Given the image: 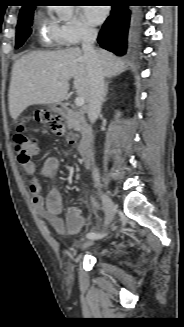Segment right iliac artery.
Returning <instances> with one entry per match:
<instances>
[{
  "label": "right iliac artery",
  "mask_w": 184,
  "mask_h": 327,
  "mask_svg": "<svg viewBox=\"0 0 184 327\" xmlns=\"http://www.w3.org/2000/svg\"><path fill=\"white\" fill-rule=\"evenodd\" d=\"M92 202L94 203V205H96V202L92 199ZM106 234H96L94 232H90L87 234V238L89 239H96V238H101L104 237Z\"/></svg>",
  "instance_id": "1"
}]
</instances>
